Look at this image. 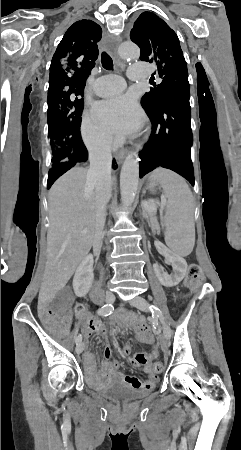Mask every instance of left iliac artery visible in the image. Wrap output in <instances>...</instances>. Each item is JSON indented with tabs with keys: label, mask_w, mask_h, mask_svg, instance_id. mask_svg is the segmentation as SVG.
<instances>
[{
	"label": "left iliac artery",
	"mask_w": 241,
	"mask_h": 450,
	"mask_svg": "<svg viewBox=\"0 0 241 450\" xmlns=\"http://www.w3.org/2000/svg\"><path fill=\"white\" fill-rule=\"evenodd\" d=\"M150 310L153 315L159 317L161 322L164 323V318H163L162 312L160 311V309L158 307L152 305V306H150Z\"/></svg>",
	"instance_id": "44dca946"
}]
</instances>
